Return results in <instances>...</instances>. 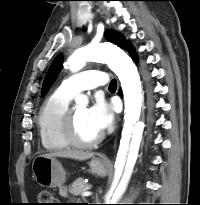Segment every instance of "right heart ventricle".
Listing matches in <instances>:
<instances>
[{"label": "right heart ventricle", "mask_w": 200, "mask_h": 205, "mask_svg": "<svg viewBox=\"0 0 200 205\" xmlns=\"http://www.w3.org/2000/svg\"><path fill=\"white\" fill-rule=\"evenodd\" d=\"M72 97L58 88L46 99L39 111L40 140L48 151H59L70 146L63 135V122Z\"/></svg>", "instance_id": "right-heart-ventricle-1"}]
</instances>
